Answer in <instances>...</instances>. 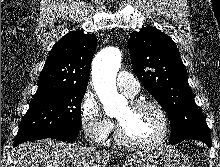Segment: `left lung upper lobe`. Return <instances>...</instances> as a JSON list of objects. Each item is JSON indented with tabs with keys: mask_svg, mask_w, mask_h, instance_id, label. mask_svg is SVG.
Returning <instances> with one entry per match:
<instances>
[{
	"mask_svg": "<svg viewBox=\"0 0 220 167\" xmlns=\"http://www.w3.org/2000/svg\"><path fill=\"white\" fill-rule=\"evenodd\" d=\"M129 51L135 75L170 119V140L209 135L210 130L194 101L186 68L173 40L148 26L131 33Z\"/></svg>",
	"mask_w": 220,
	"mask_h": 167,
	"instance_id": "left-lung-upper-lobe-1",
	"label": "left lung upper lobe"
}]
</instances>
